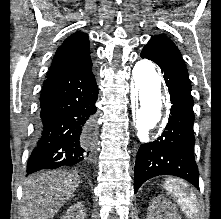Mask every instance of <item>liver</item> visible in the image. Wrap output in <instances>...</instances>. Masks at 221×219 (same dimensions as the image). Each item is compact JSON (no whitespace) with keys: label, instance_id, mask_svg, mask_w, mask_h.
<instances>
[{"label":"liver","instance_id":"obj_1","mask_svg":"<svg viewBox=\"0 0 221 219\" xmlns=\"http://www.w3.org/2000/svg\"><path fill=\"white\" fill-rule=\"evenodd\" d=\"M80 177L65 171H49L29 177L24 183L22 219H53L73 195Z\"/></svg>","mask_w":221,"mask_h":219}]
</instances>
